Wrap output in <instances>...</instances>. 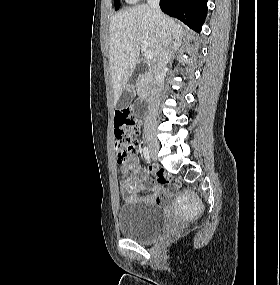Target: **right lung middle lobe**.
I'll return each instance as SVG.
<instances>
[{
	"mask_svg": "<svg viewBox=\"0 0 280 285\" xmlns=\"http://www.w3.org/2000/svg\"><path fill=\"white\" fill-rule=\"evenodd\" d=\"M115 10H118L120 8V0H115Z\"/></svg>",
	"mask_w": 280,
	"mask_h": 285,
	"instance_id": "obj_1",
	"label": "right lung middle lobe"
}]
</instances>
